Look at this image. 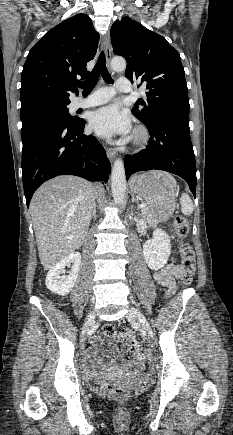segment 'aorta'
<instances>
[{
	"instance_id": "aorta-1",
	"label": "aorta",
	"mask_w": 233,
	"mask_h": 435,
	"mask_svg": "<svg viewBox=\"0 0 233 435\" xmlns=\"http://www.w3.org/2000/svg\"><path fill=\"white\" fill-rule=\"evenodd\" d=\"M111 67L115 71H123L126 68V61L123 58H114ZM111 188L114 202L118 205L123 204L126 192V175L124 163L119 158L116 159L111 173Z\"/></svg>"
}]
</instances>
